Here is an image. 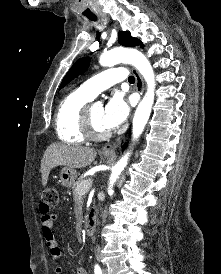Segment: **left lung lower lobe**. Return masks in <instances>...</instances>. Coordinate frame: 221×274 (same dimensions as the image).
Instances as JSON below:
<instances>
[{
	"mask_svg": "<svg viewBox=\"0 0 221 274\" xmlns=\"http://www.w3.org/2000/svg\"><path fill=\"white\" fill-rule=\"evenodd\" d=\"M127 147V143H125V145H124V149Z\"/></svg>",
	"mask_w": 221,
	"mask_h": 274,
	"instance_id": "1",
	"label": "left lung lower lobe"
}]
</instances>
